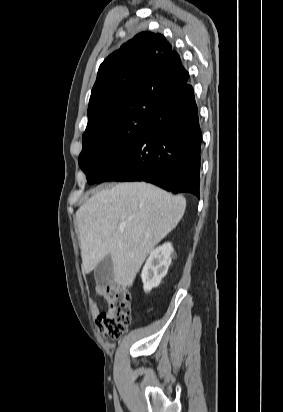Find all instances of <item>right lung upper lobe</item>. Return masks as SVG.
<instances>
[{"label": "right lung upper lobe", "instance_id": "cb5924a9", "mask_svg": "<svg viewBox=\"0 0 283 412\" xmlns=\"http://www.w3.org/2000/svg\"><path fill=\"white\" fill-rule=\"evenodd\" d=\"M188 72L161 34L142 32L100 65L89 107L88 132L107 117L145 102L163 105L187 84Z\"/></svg>", "mask_w": 283, "mask_h": 412}]
</instances>
